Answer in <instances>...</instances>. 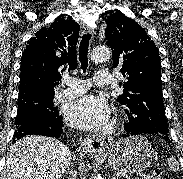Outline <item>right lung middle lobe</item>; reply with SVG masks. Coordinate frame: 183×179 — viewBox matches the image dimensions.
<instances>
[{"label":"right lung middle lobe","instance_id":"1","mask_svg":"<svg viewBox=\"0 0 183 179\" xmlns=\"http://www.w3.org/2000/svg\"><path fill=\"white\" fill-rule=\"evenodd\" d=\"M54 94H33L18 98L16 128L29 120H50L59 116L53 104Z\"/></svg>","mask_w":183,"mask_h":179}]
</instances>
